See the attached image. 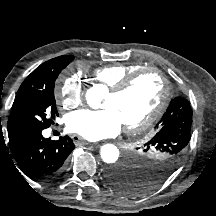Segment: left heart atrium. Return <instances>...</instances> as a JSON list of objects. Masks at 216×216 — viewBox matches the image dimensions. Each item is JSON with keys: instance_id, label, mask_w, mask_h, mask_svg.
I'll list each match as a JSON object with an SVG mask.
<instances>
[{"instance_id": "left-heart-atrium-1", "label": "left heart atrium", "mask_w": 216, "mask_h": 216, "mask_svg": "<svg viewBox=\"0 0 216 216\" xmlns=\"http://www.w3.org/2000/svg\"><path fill=\"white\" fill-rule=\"evenodd\" d=\"M122 121L112 108L101 110L82 109L70 113L66 118V128L87 140L96 141L117 135Z\"/></svg>"}]
</instances>
